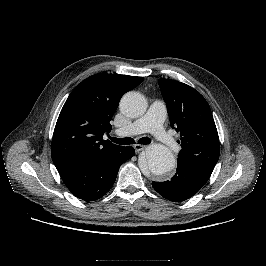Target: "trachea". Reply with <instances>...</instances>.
Segmentation results:
<instances>
[{
  "label": "trachea",
  "instance_id": "trachea-1",
  "mask_svg": "<svg viewBox=\"0 0 266 266\" xmlns=\"http://www.w3.org/2000/svg\"><path fill=\"white\" fill-rule=\"evenodd\" d=\"M111 141L120 145H130L134 144V139L133 138H112L110 137ZM139 144H150L151 140L148 137H142L138 141Z\"/></svg>",
  "mask_w": 266,
  "mask_h": 266
}]
</instances>
